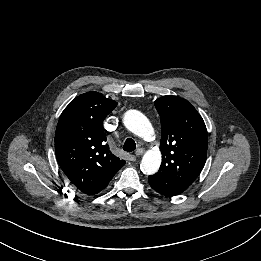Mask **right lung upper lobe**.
Instances as JSON below:
<instances>
[{"mask_svg": "<svg viewBox=\"0 0 261 261\" xmlns=\"http://www.w3.org/2000/svg\"><path fill=\"white\" fill-rule=\"evenodd\" d=\"M95 91L76 97L62 112L55 132L57 161L77 189L95 195L125 164L106 144L103 121L116 107Z\"/></svg>", "mask_w": 261, "mask_h": 261, "instance_id": "cb5924a9", "label": "right lung upper lobe"}]
</instances>
